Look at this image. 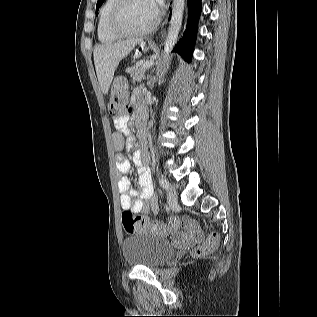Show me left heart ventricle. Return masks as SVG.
Returning <instances> with one entry per match:
<instances>
[{"instance_id":"b2bd125f","label":"left heart ventricle","mask_w":317,"mask_h":317,"mask_svg":"<svg viewBox=\"0 0 317 317\" xmlns=\"http://www.w3.org/2000/svg\"><path fill=\"white\" fill-rule=\"evenodd\" d=\"M157 9L151 0H130L126 5L121 25L131 31H138L149 26L155 19Z\"/></svg>"}]
</instances>
